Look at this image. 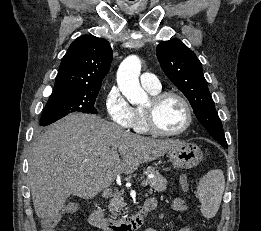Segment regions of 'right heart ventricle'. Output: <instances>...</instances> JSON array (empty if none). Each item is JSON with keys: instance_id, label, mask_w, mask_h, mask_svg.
<instances>
[{"instance_id": "obj_1", "label": "right heart ventricle", "mask_w": 261, "mask_h": 231, "mask_svg": "<svg viewBox=\"0 0 261 231\" xmlns=\"http://www.w3.org/2000/svg\"><path fill=\"white\" fill-rule=\"evenodd\" d=\"M148 90V89H147ZM151 95L158 94L160 92L159 90H148ZM134 122H133V129L135 132L140 133V134H146L149 133V129L147 128L144 120V115H143V109L141 107H138L134 109Z\"/></svg>"}]
</instances>
